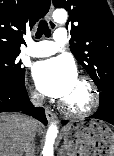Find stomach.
<instances>
[{
    "instance_id": "stomach-1",
    "label": "stomach",
    "mask_w": 114,
    "mask_h": 156,
    "mask_svg": "<svg viewBox=\"0 0 114 156\" xmlns=\"http://www.w3.org/2000/svg\"><path fill=\"white\" fill-rule=\"evenodd\" d=\"M62 132L67 156H114V133L103 121H73Z\"/></svg>"
}]
</instances>
